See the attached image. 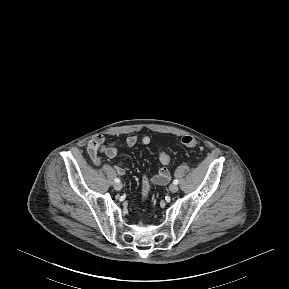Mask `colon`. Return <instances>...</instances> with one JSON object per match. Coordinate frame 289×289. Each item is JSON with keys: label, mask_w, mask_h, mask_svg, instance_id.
<instances>
[{"label": "colon", "mask_w": 289, "mask_h": 289, "mask_svg": "<svg viewBox=\"0 0 289 289\" xmlns=\"http://www.w3.org/2000/svg\"><path fill=\"white\" fill-rule=\"evenodd\" d=\"M181 142L183 145H185L186 147L189 148H196L198 147V141L192 137V136H184L181 139ZM159 161L163 164V165H167L170 163V156L167 152L162 151L159 154ZM150 186L148 185L147 182V176L143 177V181H142V193H143V197L147 198L150 194Z\"/></svg>", "instance_id": "5ec220e1"}]
</instances>
